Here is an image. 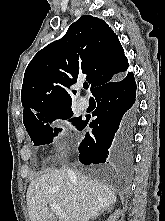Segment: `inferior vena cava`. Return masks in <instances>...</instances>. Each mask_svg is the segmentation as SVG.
<instances>
[{"mask_svg": "<svg viewBox=\"0 0 165 221\" xmlns=\"http://www.w3.org/2000/svg\"><path fill=\"white\" fill-rule=\"evenodd\" d=\"M68 174L69 176L75 177V173L73 172L72 169H68Z\"/></svg>", "mask_w": 165, "mask_h": 221, "instance_id": "obj_1", "label": "inferior vena cava"}]
</instances>
